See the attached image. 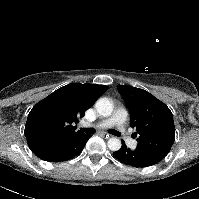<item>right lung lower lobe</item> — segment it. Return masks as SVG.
<instances>
[{
  "label": "right lung lower lobe",
  "mask_w": 199,
  "mask_h": 199,
  "mask_svg": "<svg viewBox=\"0 0 199 199\" xmlns=\"http://www.w3.org/2000/svg\"><path fill=\"white\" fill-rule=\"evenodd\" d=\"M90 137L91 135L81 133L60 142L34 145L30 149L42 160L61 162L78 155Z\"/></svg>",
  "instance_id": "right-lung-lower-lobe-1"
}]
</instances>
